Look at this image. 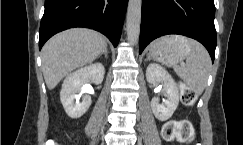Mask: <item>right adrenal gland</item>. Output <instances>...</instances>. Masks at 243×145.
Wrapping results in <instances>:
<instances>
[{"mask_svg": "<svg viewBox=\"0 0 243 145\" xmlns=\"http://www.w3.org/2000/svg\"><path fill=\"white\" fill-rule=\"evenodd\" d=\"M102 55H104L105 58H108L107 46L104 48L103 52L99 55L98 58H100Z\"/></svg>", "mask_w": 243, "mask_h": 145, "instance_id": "obj_1", "label": "right adrenal gland"}]
</instances>
